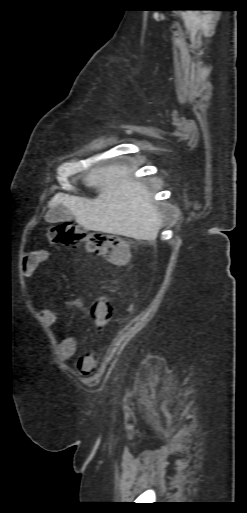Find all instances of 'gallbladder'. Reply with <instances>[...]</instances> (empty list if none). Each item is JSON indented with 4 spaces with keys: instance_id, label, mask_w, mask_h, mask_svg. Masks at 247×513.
<instances>
[{
    "instance_id": "gallbladder-1",
    "label": "gallbladder",
    "mask_w": 247,
    "mask_h": 513,
    "mask_svg": "<svg viewBox=\"0 0 247 513\" xmlns=\"http://www.w3.org/2000/svg\"><path fill=\"white\" fill-rule=\"evenodd\" d=\"M73 214L63 205H58L54 207L48 213V221L51 223L64 222L73 220Z\"/></svg>"
}]
</instances>
